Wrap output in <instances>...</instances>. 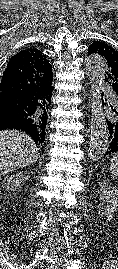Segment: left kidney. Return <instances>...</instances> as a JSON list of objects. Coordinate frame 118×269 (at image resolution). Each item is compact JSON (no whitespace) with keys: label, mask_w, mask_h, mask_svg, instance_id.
I'll return each mask as SVG.
<instances>
[{"label":"left kidney","mask_w":118,"mask_h":269,"mask_svg":"<svg viewBox=\"0 0 118 269\" xmlns=\"http://www.w3.org/2000/svg\"><path fill=\"white\" fill-rule=\"evenodd\" d=\"M100 204L97 210L101 217L110 221L115 216V210L118 206V189L109 185V183H101L100 190Z\"/></svg>","instance_id":"1"}]
</instances>
